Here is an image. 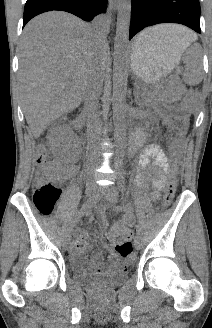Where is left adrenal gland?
Segmentation results:
<instances>
[{
  "label": "left adrenal gland",
  "mask_w": 212,
  "mask_h": 328,
  "mask_svg": "<svg viewBox=\"0 0 212 328\" xmlns=\"http://www.w3.org/2000/svg\"><path fill=\"white\" fill-rule=\"evenodd\" d=\"M137 86H136V90H135V94H134V96H135V101L137 102V98H138V90H137Z\"/></svg>",
  "instance_id": "a2214340"
}]
</instances>
